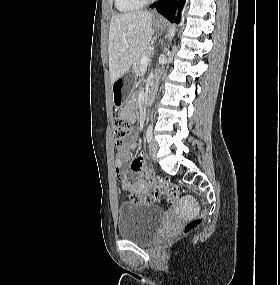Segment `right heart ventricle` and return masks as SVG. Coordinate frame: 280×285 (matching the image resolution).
I'll return each mask as SVG.
<instances>
[{
  "label": "right heart ventricle",
  "mask_w": 280,
  "mask_h": 285,
  "mask_svg": "<svg viewBox=\"0 0 280 285\" xmlns=\"http://www.w3.org/2000/svg\"><path fill=\"white\" fill-rule=\"evenodd\" d=\"M144 3L139 0H114L115 8L121 13H129L138 10Z\"/></svg>",
  "instance_id": "e07e8e85"
}]
</instances>
